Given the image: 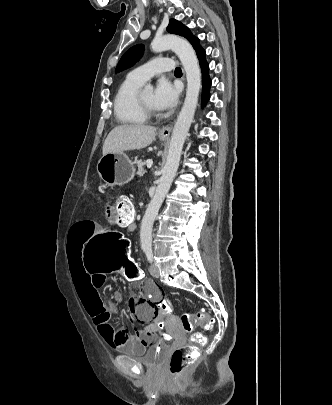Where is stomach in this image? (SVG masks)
<instances>
[{"instance_id":"stomach-1","label":"stomach","mask_w":332,"mask_h":405,"mask_svg":"<svg viewBox=\"0 0 332 405\" xmlns=\"http://www.w3.org/2000/svg\"><path fill=\"white\" fill-rule=\"evenodd\" d=\"M165 141V136H160ZM100 178L109 185L125 184L135 175L134 162L124 153H108L102 156L97 164Z\"/></svg>"}]
</instances>
